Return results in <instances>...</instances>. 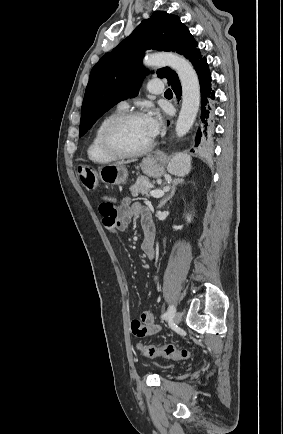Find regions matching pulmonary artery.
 <instances>
[{"label": "pulmonary artery", "instance_id": "pulmonary-artery-1", "mask_svg": "<svg viewBox=\"0 0 283 434\" xmlns=\"http://www.w3.org/2000/svg\"><path fill=\"white\" fill-rule=\"evenodd\" d=\"M163 83L160 80H151L148 83V90L151 94H161L163 92ZM121 109L128 108V103L126 101H122L118 105Z\"/></svg>", "mask_w": 283, "mask_h": 434}]
</instances>
